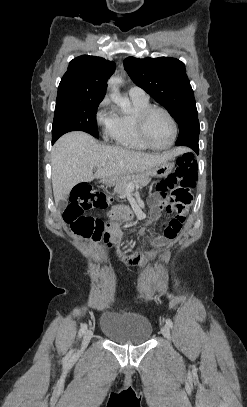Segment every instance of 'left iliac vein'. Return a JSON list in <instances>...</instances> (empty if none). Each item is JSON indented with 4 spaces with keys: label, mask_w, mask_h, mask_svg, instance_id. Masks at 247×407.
<instances>
[{
    "label": "left iliac vein",
    "mask_w": 247,
    "mask_h": 407,
    "mask_svg": "<svg viewBox=\"0 0 247 407\" xmlns=\"http://www.w3.org/2000/svg\"><path fill=\"white\" fill-rule=\"evenodd\" d=\"M162 335L167 339L170 340V329L168 325H164L161 329Z\"/></svg>",
    "instance_id": "4c4485c4"
}]
</instances>
